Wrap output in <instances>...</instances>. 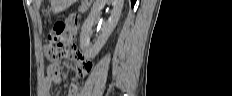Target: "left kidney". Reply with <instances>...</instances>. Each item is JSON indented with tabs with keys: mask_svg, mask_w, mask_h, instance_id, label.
I'll list each match as a JSON object with an SVG mask.
<instances>
[{
	"mask_svg": "<svg viewBox=\"0 0 232 96\" xmlns=\"http://www.w3.org/2000/svg\"><path fill=\"white\" fill-rule=\"evenodd\" d=\"M124 0H96L93 4L91 12L87 19L84 21L81 33H80V47L87 59L94 58L102 47L105 45L110 34L116 27L121 11L123 8ZM106 4H112L113 9L111 15L106 23L103 24L101 33L94 43L90 42L92 35V27L96 23L100 16V11Z\"/></svg>",
	"mask_w": 232,
	"mask_h": 96,
	"instance_id": "left-kidney-1",
	"label": "left kidney"
}]
</instances>
